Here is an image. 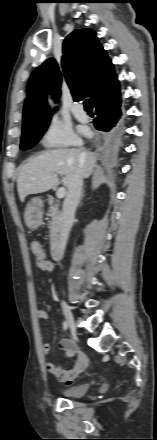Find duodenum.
I'll return each mask as SVG.
<instances>
[{
    "instance_id": "1",
    "label": "duodenum",
    "mask_w": 157,
    "mask_h": 440,
    "mask_svg": "<svg viewBox=\"0 0 157 440\" xmlns=\"http://www.w3.org/2000/svg\"><path fill=\"white\" fill-rule=\"evenodd\" d=\"M51 256L56 261L60 260L61 257H62V252H61V249H60V245L55 240L52 241V244H51Z\"/></svg>"
}]
</instances>
